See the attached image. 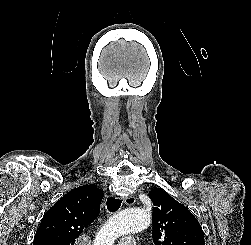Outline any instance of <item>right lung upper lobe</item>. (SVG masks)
Returning <instances> with one entry per match:
<instances>
[{"instance_id":"1","label":"right lung upper lobe","mask_w":251,"mask_h":245,"mask_svg":"<svg viewBox=\"0 0 251 245\" xmlns=\"http://www.w3.org/2000/svg\"><path fill=\"white\" fill-rule=\"evenodd\" d=\"M103 195L95 185H83L65 194L45 213L33 245H74L98 217Z\"/></svg>"}]
</instances>
